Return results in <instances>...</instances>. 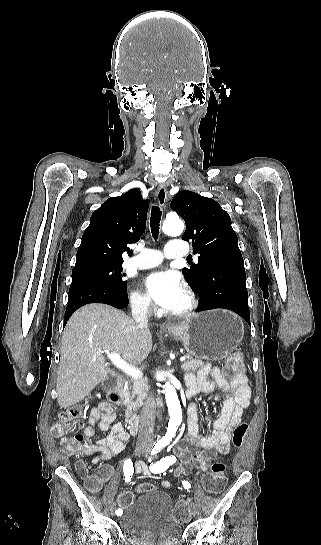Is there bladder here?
Segmentation results:
<instances>
[{"label": "bladder", "mask_w": 321, "mask_h": 545, "mask_svg": "<svg viewBox=\"0 0 321 545\" xmlns=\"http://www.w3.org/2000/svg\"><path fill=\"white\" fill-rule=\"evenodd\" d=\"M118 522L129 545H178L183 532L169 495L155 489L138 495L122 510Z\"/></svg>", "instance_id": "obj_1"}]
</instances>
